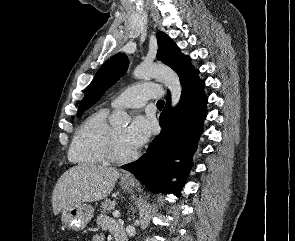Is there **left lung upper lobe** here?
Listing matches in <instances>:
<instances>
[{"label": "left lung upper lobe", "mask_w": 295, "mask_h": 241, "mask_svg": "<svg viewBox=\"0 0 295 241\" xmlns=\"http://www.w3.org/2000/svg\"><path fill=\"white\" fill-rule=\"evenodd\" d=\"M157 42L158 60L170 66L178 74L182 85L188 78L198 72L190 64L189 57L181 53L177 45L167 34L159 32L157 34ZM128 64L127 56L123 53H117L101 66L87 87L85 96L79 104L78 116L102 97L105 91L126 72Z\"/></svg>", "instance_id": "1"}]
</instances>
